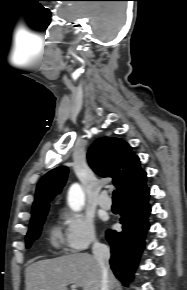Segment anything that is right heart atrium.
Segmentation results:
<instances>
[{"mask_svg": "<svg viewBox=\"0 0 187 290\" xmlns=\"http://www.w3.org/2000/svg\"><path fill=\"white\" fill-rule=\"evenodd\" d=\"M63 242L69 252L78 253L97 242L93 220L79 212L62 213Z\"/></svg>", "mask_w": 187, "mask_h": 290, "instance_id": "d8ad5b80", "label": "right heart atrium"}]
</instances>
